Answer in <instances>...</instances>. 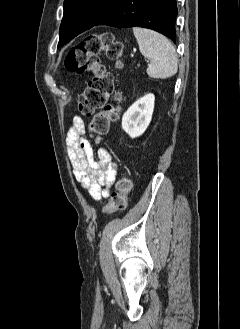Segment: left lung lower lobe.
Listing matches in <instances>:
<instances>
[{
	"label": "left lung lower lobe",
	"mask_w": 240,
	"mask_h": 329,
	"mask_svg": "<svg viewBox=\"0 0 240 329\" xmlns=\"http://www.w3.org/2000/svg\"><path fill=\"white\" fill-rule=\"evenodd\" d=\"M176 0H119L95 25L149 28L176 41Z\"/></svg>",
	"instance_id": "obj_1"
}]
</instances>
